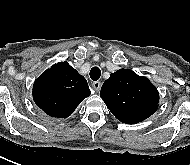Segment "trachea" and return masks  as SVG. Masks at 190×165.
Returning <instances> with one entry per match:
<instances>
[{
	"mask_svg": "<svg viewBox=\"0 0 190 165\" xmlns=\"http://www.w3.org/2000/svg\"><path fill=\"white\" fill-rule=\"evenodd\" d=\"M101 76V70L99 67L95 66L90 70V78L97 81Z\"/></svg>",
	"mask_w": 190,
	"mask_h": 165,
	"instance_id": "3493384b",
	"label": "trachea"
}]
</instances>
